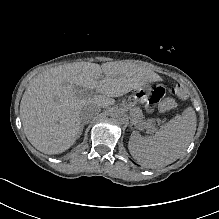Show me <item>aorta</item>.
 Masks as SVG:
<instances>
[{
    "label": "aorta",
    "mask_w": 219,
    "mask_h": 219,
    "mask_svg": "<svg viewBox=\"0 0 219 219\" xmlns=\"http://www.w3.org/2000/svg\"><path fill=\"white\" fill-rule=\"evenodd\" d=\"M111 119L118 125L126 124L128 122V116L126 112L118 107H114L110 111Z\"/></svg>",
    "instance_id": "obj_1"
}]
</instances>
